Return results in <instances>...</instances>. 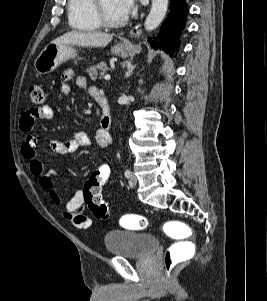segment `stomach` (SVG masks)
Here are the masks:
<instances>
[{"instance_id": "1", "label": "stomach", "mask_w": 267, "mask_h": 301, "mask_svg": "<svg viewBox=\"0 0 267 301\" xmlns=\"http://www.w3.org/2000/svg\"><path fill=\"white\" fill-rule=\"evenodd\" d=\"M114 55L127 57L129 48L123 44H117L111 48ZM77 56L76 49L70 44H48L36 58L34 67L36 71L45 75L55 70L60 64Z\"/></svg>"}]
</instances>
